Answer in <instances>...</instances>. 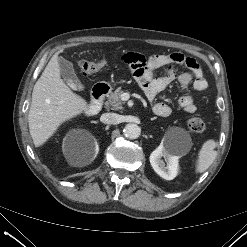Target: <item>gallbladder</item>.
Here are the masks:
<instances>
[{
  "label": "gallbladder",
  "mask_w": 247,
  "mask_h": 247,
  "mask_svg": "<svg viewBox=\"0 0 247 247\" xmlns=\"http://www.w3.org/2000/svg\"><path fill=\"white\" fill-rule=\"evenodd\" d=\"M58 65L64 81L74 90L80 89L81 84L75 73L73 64L63 57H58Z\"/></svg>",
  "instance_id": "gallbladder-1"
}]
</instances>
